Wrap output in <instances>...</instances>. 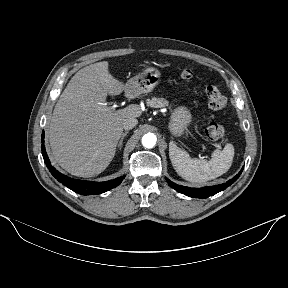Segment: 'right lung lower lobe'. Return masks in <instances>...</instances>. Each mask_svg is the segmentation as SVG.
<instances>
[{
    "mask_svg": "<svg viewBox=\"0 0 288 288\" xmlns=\"http://www.w3.org/2000/svg\"><path fill=\"white\" fill-rule=\"evenodd\" d=\"M42 145V155L44 162L51 172V174L64 186L68 187L72 191L80 194V195H95V194H101L106 191H109L115 187H117L122 180L124 179V176H121L119 178H116L114 180H109L105 182H93V181H83V180H75L73 178H70L59 171H57L51 164L50 160L47 156L45 146H44V131L42 133V139H41Z\"/></svg>",
    "mask_w": 288,
    "mask_h": 288,
    "instance_id": "98d812e1",
    "label": "right lung lower lobe"
}]
</instances>
